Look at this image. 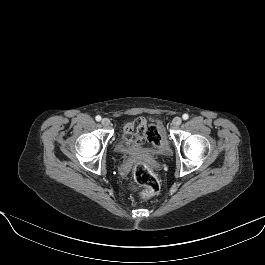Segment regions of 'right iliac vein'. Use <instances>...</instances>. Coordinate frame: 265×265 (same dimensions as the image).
<instances>
[{"instance_id":"63e3f726","label":"right iliac vein","mask_w":265,"mask_h":265,"mask_svg":"<svg viewBox=\"0 0 265 265\" xmlns=\"http://www.w3.org/2000/svg\"><path fill=\"white\" fill-rule=\"evenodd\" d=\"M101 123L103 126L108 127L110 125V120L108 118H103Z\"/></svg>"}]
</instances>
